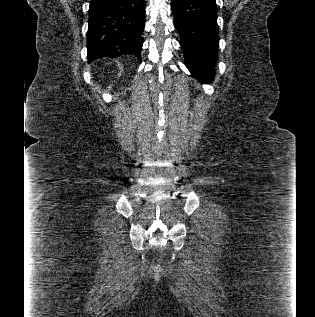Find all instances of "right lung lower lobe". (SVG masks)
<instances>
[{
    "instance_id": "right-lung-lower-lobe-1",
    "label": "right lung lower lobe",
    "mask_w": 315,
    "mask_h": 317,
    "mask_svg": "<svg viewBox=\"0 0 315 317\" xmlns=\"http://www.w3.org/2000/svg\"><path fill=\"white\" fill-rule=\"evenodd\" d=\"M145 0H91L87 32L88 62L123 54L141 59Z\"/></svg>"
}]
</instances>
